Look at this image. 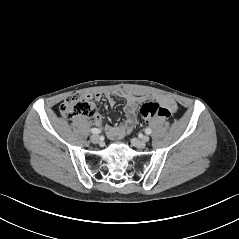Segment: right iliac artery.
<instances>
[{
  "label": "right iliac artery",
  "mask_w": 239,
  "mask_h": 239,
  "mask_svg": "<svg viewBox=\"0 0 239 239\" xmlns=\"http://www.w3.org/2000/svg\"><path fill=\"white\" fill-rule=\"evenodd\" d=\"M91 132H92L93 134H99V133L101 132V130H100V129H97V128H92V129H91Z\"/></svg>",
  "instance_id": "82829eb1"
}]
</instances>
